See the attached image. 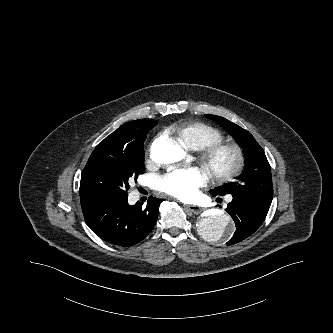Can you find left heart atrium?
I'll use <instances>...</instances> for the list:
<instances>
[{"mask_svg":"<svg viewBox=\"0 0 333 333\" xmlns=\"http://www.w3.org/2000/svg\"><path fill=\"white\" fill-rule=\"evenodd\" d=\"M206 182L207 176L203 170L189 167L168 172L159 179L157 186L160 191L180 200H190Z\"/></svg>","mask_w":333,"mask_h":333,"instance_id":"obj_1","label":"left heart atrium"}]
</instances>
